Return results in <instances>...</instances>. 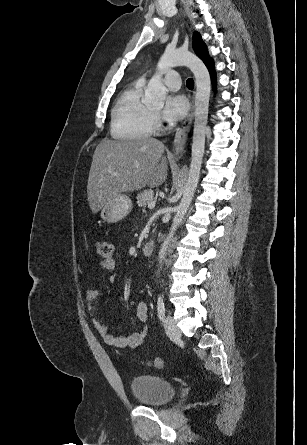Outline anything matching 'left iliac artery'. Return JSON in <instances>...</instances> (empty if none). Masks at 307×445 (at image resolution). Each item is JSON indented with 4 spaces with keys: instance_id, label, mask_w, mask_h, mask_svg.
Segmentation results:
<instances>
[{
    "instance_id": "left-iliac-artery-1",
    "label": "left iliac artery",
    "mask_w": 307,
    "mask_h": 445,
    "mask_svg": "<svg viewBox=\"0 0 307 445\" xmlns=\"http://www.w3.org/2000/svg\"><path fill=\"white\" fill-rule=\"evenodd\" d=\"M157 312L159 319L163 321L165 316V304H164V299L161 295L158 297L157 301Z\"/></svg>"
}]
</instances>
